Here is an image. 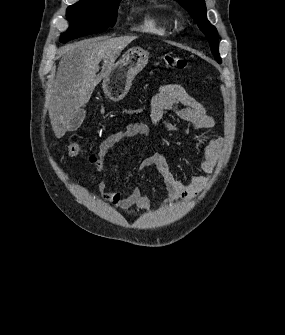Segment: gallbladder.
<instances>
[{
	"label": "gallbladder",
	"mask_w": 285,
	"mask_h": 335,
	"mask_svg": "<svg viewBox=\"0 0 285 335\" xmlns=\"http://www.w3.org/2000/svg\"><path fill=\"white\" fill-rule=\"evenodd\" d=\"M85 116H86L85 110H77L74 116H72V120H70L69 122L68 130H70V132H75V130H78Z\"/></svg>",
	"instance_id": "1"
}]
</instances>
